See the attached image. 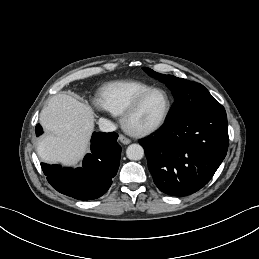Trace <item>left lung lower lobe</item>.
<instances>
[{
  "label": "left lung lower lobe",
  "instance_id": "1",
  "mask_svg": "<svg viewBox=\"0 0 259 259\" xmlns=\"http://www.w3.org/2000/svg\"><path fill=\"white\" fill-rule=\"evenodd\" d=\"M228 142L227 115L219 105L169 121L140 144L157 187L169 195L187 196L210 181Z\"/></svg>",
  "mask_w": 259,
  "mask_h": 259
}]
</instances>
